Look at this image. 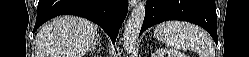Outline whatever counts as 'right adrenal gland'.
Listing matches in <instances>:
<instances>
[{
    "label": "right adrenal gland",
    "mask_w": 249,
    "mask_h": 57,
    "mask_svg": "<svg viewBox=\"0 0 249 57\" xmlns=\"http://www.w3.org/2000/svg\"><path fill=\"white\" fill-rule=\"evenodd\" d=\"M95 45H96V46H98V47L100 48V47H101V43H100V41H97V40H96ZM93 50H94V48H93Z\"/></svg>",
    "instance_id": "2a0ac1e0"
}]
</instances>
